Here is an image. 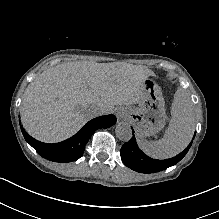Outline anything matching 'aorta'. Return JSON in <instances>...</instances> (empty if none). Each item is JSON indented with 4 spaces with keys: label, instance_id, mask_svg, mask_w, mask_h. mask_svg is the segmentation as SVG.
<instances>
[{
    "label": "aorta",
    "instance_id": "obj_1",
    "mask_svg": "<svg viewBox=\"0 0 219 219\" xmlns=\"http://www.w3.org/2000/svg\"><path fill=\"white\" fill-rule=\"evenodd\" d=\"M116 136L123 142H128L132 137V129L127 123H119L115 129Z\"/></svg>",
    "mask_w": 219,
    "mask_h": 219
}]
</instances>
